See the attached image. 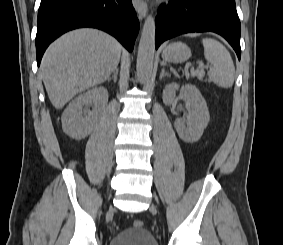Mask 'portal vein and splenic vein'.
<instances>
[{
	"label": "portal vein and splenic vein",
	"mask_w": 283,
	"mask_h": 245,
	"mask_svg": "<svg viewBox=\"0 0 283 245\" xmlns=\"http://www.w3.org/2000/svg\"><path fill=\"white\" fill-rule=\"evenodd\" d=\"M204 67V64L202 62L199 63L198 69H202Z\"/></svg>",
	"instance_id": "1"
}]
</instances>
